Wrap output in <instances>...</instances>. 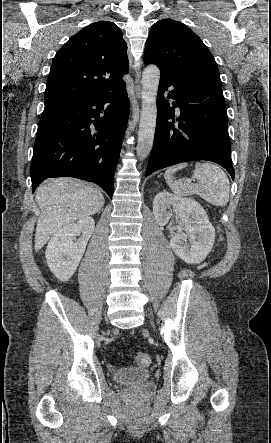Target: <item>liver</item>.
<instances>
[{
	"instance_id": "6515ba94",
	"label": "liver",
	"mask_w": 271,
	"mask_h": 443,
	"mask_svg": "<svg viewBox=\"0 0 271 443\" xmlns=\"http://www.w3.org/2000/svg\"><path fill=\"white\" fill-rule=\"evenodd\" d=\"M35 200L40 208L35 251H39L64 225L93 216L104 204V196L100 190L91 188L76 178L47 180L39 186Z\"/></svg>"
}]
</instances>
